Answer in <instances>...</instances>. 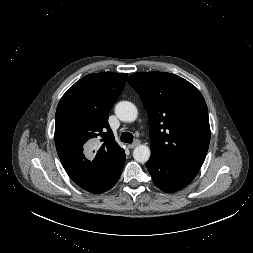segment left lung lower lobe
<instances>
[{"label": "left lung lower lobe", "mask_w": 253, "mask_h": 253, "mask_svg": "<svg viewBox=\"0 0 253 253\" xmlns=\"http://www.w3.org/2000/svg\"><path fill=\"white\" fill-rule=\"evenodd\" d=\"M146 167L153 178L154 184L168 193L186 187L197 175L192 171L171 165L152 153Z\"/></svg>", "instance_id": "left-lung-lower-lobe-1"}]
</instances>
